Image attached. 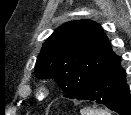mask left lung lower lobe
Instances as JSON below:
<instances>
[{
    "instance_id": "left-lung-lower-lobe-1",
    "label": "left lung lower lobe",
    "mask_w": 131,
    "mask_h": 115,
    "mask_svg": "<svg viewBox=\"0 0 131 115\" xmlns=\"http://www.w3.org/2000/svg\"><path fill=\"white\" fill-rule=\"evenodd\" d=\"M76 99L95 101L120 115H131V94L121 62L97 77Z\"/></svg>"
}]
</instances>
